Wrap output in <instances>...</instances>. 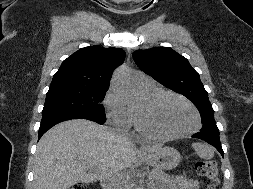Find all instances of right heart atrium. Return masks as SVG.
I'll list each match as a JSON object with an SVG mask.
<instances>
[{
    "label": "right heart atrium",
    "instance_id": "right-heart-atrium-1",
    "mask_svg": "<svg viewBox=\"0 0 253 189\" xmlns=\"http://www.w3.org/2000/svg\"><path fill=\"white\" fill-rule=\"evenodd\" d=\"M103 104L110 124L123 131L133 126V112L118 90L111 87L105 95Z\"/></svg>",
    "mask_w": 253,
    "mask_h": 189
}]
</instances>
